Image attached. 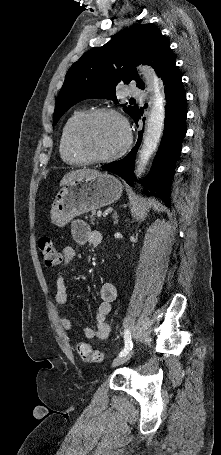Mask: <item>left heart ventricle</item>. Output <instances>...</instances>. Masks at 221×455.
<instances>
[{"label":"left heart ventricle","instance_id":"1","mask_svg":"<svg viewBox=\"0 0 221 455\" xmlns=\"http://www.w3.org/2000/svg\"><path fill=\"white\" fill-rule=\"evenodd\" d=\"M125 141L120 120L111 115L94 119L84 133V144L95 156H107L117 151Z\"/></svg>","mask_w":221,"mask_h":455}]
</instances>
